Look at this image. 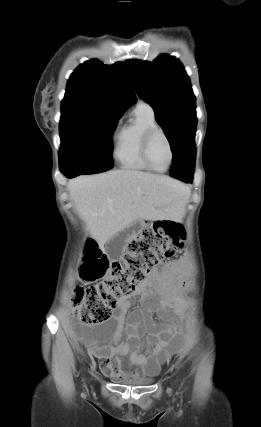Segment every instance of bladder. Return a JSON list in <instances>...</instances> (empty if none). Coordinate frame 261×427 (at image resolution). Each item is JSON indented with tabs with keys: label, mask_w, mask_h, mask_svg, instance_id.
I'll use <instances>...</instances> for the list:
<instances>
[{
	"label": "bladder",
	"mask_w": 261,
	"mask_h": 427,
	"mask_svg": "<svg viewBox=\"0 0 261 427\" xmlns=\"http://www.w3.org/2000/svg\"><path fill=\"white\" fill-rule=\"evenodd\" d=\"M153 381H154L153 377L140 376L137 378L126 380L124 383L130 386H146L151 384Z\"/></svg>",
	"instance_id": "31cf9c89"
}]
</instances>
